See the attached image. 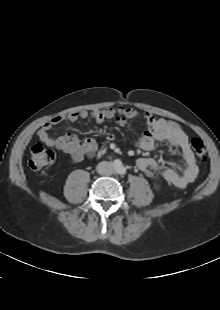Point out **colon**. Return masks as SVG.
Here are the masks:
<instances>
[{
  "label": "colon",
  "instance_id": "colon-1",
  "mask_svg": "<svg viewBox=\"0 0 220 310\" xmlns=\"http://www.w3.org/2000/svg\"><path fill=\"white\" fill-rule=\"evenodd\" d=\"M191 147L195 153V155L199 159H204L206 156V148L203 141L199 138H194L191 141ZM54 153L47 149L42 143L37 142L32 145L30 149V159H29V167L32 170H40L49 165H51L54 161Z\"/></svg>",
  "mask_w": 220,
  "mask_h": 310
}]
</instances>
